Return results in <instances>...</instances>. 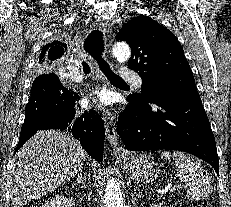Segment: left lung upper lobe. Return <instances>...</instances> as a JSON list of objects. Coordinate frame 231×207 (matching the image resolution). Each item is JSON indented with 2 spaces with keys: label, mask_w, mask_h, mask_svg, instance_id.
I'll list each match as a JSON object with an SVG mask.
<instances>
[{
  "label": "left lung upper lobe",
  "mask_w": 231,
  "mask_h": 207,
  "mask_svg": "<svg viewBox=\"0 0 231 207\" xmlns=\"http://www.w3.org/2000/svg\"><path fill=\"white\" fill-rule=\"evenodd\" d=\"M117 41H126L132 51L129 67L141 76V103L174 100L199 95L195 80L178 39L150 17L137 16L122 26Z\"/></svg>",
  "instance_id": "obj_1"
}]
</instances>
